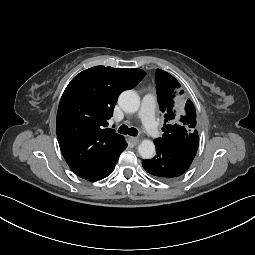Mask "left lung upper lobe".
I'll return each mask as SVG.
<instances>
[{"label":"left lung upper lobe","instance_id":"1","mask_svg":"<svg viewBox=\"0 0 255 255\" xmlns=\"http://www.w3.org/2000/svg\"><path fill=\"white\" fill-rule=\"evenodd\" d=\"M157 98L165 123L162 138L155 139L158 144H179L198 139L196 112L190 99L184 97L180 83L169 73L157 69Z\"/></svg>","mask_w":255,"mask_h":255}]
</instances>
